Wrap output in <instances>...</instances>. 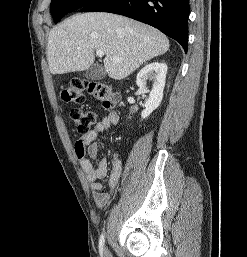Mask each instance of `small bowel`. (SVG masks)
<instances>
[{
    "mask_svg": "<svg viewBox=\"0 0 247 257\" xmlns=\"http://www.w3.org/2000/svg\"><path fill=\"white\" fill-rule=\"evenodd\" d=\"M119 116L110 113L103 117L96 126L89 132L83 134L74 144V151L78 162L86 173L87 181L90 184L93 199L97 206L105 207L110 201V194L104 190L101 179L108 174V166L105 158L98 160V166L93 167L91 159H97L99 145L95 142L99 134L117 125ZM122 174V162L118 153L112 157V170L109 176V188L114 189Z\"/></svg>",
    "mask_w": 247,
    "mask_h": 257,
    "instance_id": "c3829d8e",
    "label": "small bowel"
}]
</instances>
